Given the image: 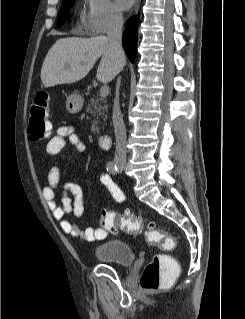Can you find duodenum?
I'll return each instance as SVG.
<instances>
[{
	"instance_id": "obj_1",
	"label": "duodenum",
	"mask_w": 245,
	"mask_h": 319,
	"mask_svg": "<svg viewBox=\"0 0 245 319\" xmlns=\"http://www.w3.org/2000/svg\"><path fill=\"white\" fill-rule=\"evenodd\" d=\"M98 142L102 149L107 150L111 147V136L107 133L102 134L99 136Z\"/></svg>"
}]
</instances>
